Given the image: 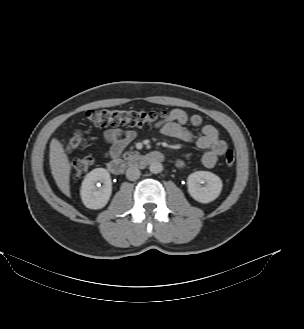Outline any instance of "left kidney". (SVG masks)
Masks as SVG:
<instances>
[{
	"mask_svg": "<svg viewBox=\"0 0 304 329\" xmlns=\"http://www.w3.org/2000/svg\"><path fill=\"white\" fill-rule=\"evenodd\" d=\"M190 196L200 203L214 201L221 193L222 180L209 171H196L187 178Z\"/></svg>",
	"mask_w": 304,
	"mask_h": 329,
	"instance_id": "5707ae66",
	"label": "left kidney"
}]
</instances>
